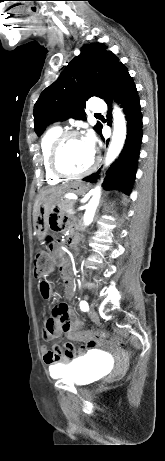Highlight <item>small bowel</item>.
I'll list each match as a JSON object with an SVG mask.
<instances>
[{"instance_id": "small-bowel-1", "label": "small bowel", "mask_w": 165, "mask_h": 461, "mask_svg": "<svg viewBox=\"0 0 165 461\" xmlns=\"http://www.w3.org/2000/svg\"><path fill=\"white\" fill-rule=\"evenodd\" d=\"M52 212L54 214H48V221L59 222L61 219L59 214L61 212V206L56 204L52 207ZM62 220L70 227H73V224L71 223L73 220L72 214H63ZM55 253H61V249H55ZM60 269L62 272L64 292L66 297L70 299L74 295V287L63 264H60ZM39 291L41 297L45 300H50L54 296L53 285L47 280L40 281ZM57 308H59L58 311ZM42 325V338L45 341H51L61 336H66L74 341H86L88 335L91 334L79 329L80 321L74 315L73 311L69 307V304L66 302L56 305L53 308L51 315H45L42 319ZM42 352L44 362L50 367L52 374L56 376L60 374L63 363L71 360L74 354L62 349V347L58 344L53 345L51 349L43 348Z\"/></svg>"}]
</instances>
